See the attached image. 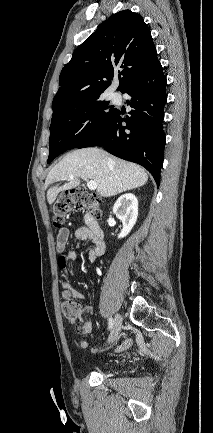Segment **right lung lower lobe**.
Returning <instances> with one entry per match:
<instances>
[{
	"label": "right lung lower lobe",
	"instance_id": "98d812e1",
	"mask_svg": "<svg viewBox=\"0 0 213 433\" xmlns=\"http://www.w3.org/2000/svg\"><path fill=\"white\" fill-rule=\"evenodd\" d=\"M167 81L156 58L151 65L122 90L132 98V110L122 117L116 110L108 125L76 148L103 146L109 153L138 163L160 183L165 134L162 128ZM126 122V126H122Z\"/></svg>",
	"mask_w": 213,
	"mask_h": 433
}]
</instances>
